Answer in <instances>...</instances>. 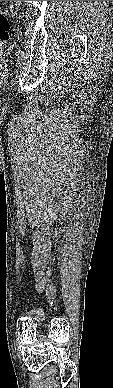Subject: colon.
I'll return each mask as SVG.
<instances>
[{
    "mask_svg": "<svg viewBox=\"0 0 113 388\" xmlns=\"http://www.w3.org/2000/svg\"><path fill=\"white\" fill-rule=\"evenodd\" d=\"M10 37V23L5 12L0 10V48Z\"/></svg>",
    "mask_w": 113,
    "mask_h": 388,
    "instance_id": "5ec220e1",
    "label": "colon"
}]
</instances>
